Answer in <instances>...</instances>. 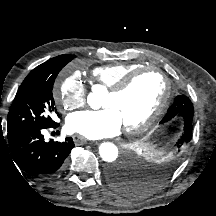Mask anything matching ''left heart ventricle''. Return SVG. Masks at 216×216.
I'll return each instance as SVG.
<instances>
[{
    "instance_id": "obj_1",
    "label": "left heart ventricle",
    "mask_w": 216,
    "mask_h": 216,
    "mask_svg": "<svg viewBox=\"0 0 216 216\" xmlns=\"http://www.w3.org/2000/svg\"><path fill=\"white\" fill-rule=\"evenodd\" d=\"M164 92V82L156 72H146L135 79L121 95L107 93L102 106L113 109L122 125L133 126L144 120L159 104Z\"/></svg>"
}]
</instances>
